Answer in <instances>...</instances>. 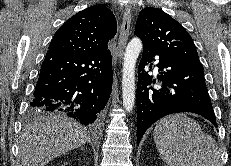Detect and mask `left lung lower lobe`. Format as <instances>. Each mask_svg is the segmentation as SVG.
<instances>
[{
    "mask_svg": "<svg viewBox=\"0 0 231 166\" xmlns=\"http://www.w3.org/2000/svg\"><path fill=\"white\" fill-rule=\"evenodd\" d=\"M157 64L159 85L144 72L154 56ZM137 85V131L138 143L145 131L160 118L179 112L199 114L217 126L214 110L206 88L201 63L177 61L143 46L139 64Z\"/></svg>",
    "mask_w": 231,
    "mask_h": 166,
    "instance_id": "obj_1",
    "label": "left lung lower lobe"
}]
</instances>
